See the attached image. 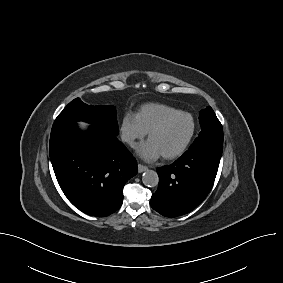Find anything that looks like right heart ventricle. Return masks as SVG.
I'll use <instances>...</instances> for the list:
<instances>
[{"instance_id":"right-heart-ventricle-1","label":"right heart ventricle","mask_w":283,"mask_h":283,"mask_svg":"<svg viewBox=\"0 0 283 283\" xmlns=\"http://www.w3.org/2000/svg\"><path fill=\"white\" fill-rule=\"evenodd\" d=\"M177 111L176 108L161 103H148L142 105L137 117L146 132H148L165 115Z\"/></svg>"}]
</instances>
